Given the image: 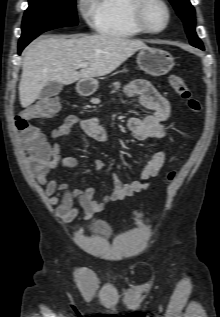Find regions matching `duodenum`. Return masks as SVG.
Returning a JSON list of instances; mask_svg holds the SVG:
<instances>
[{
    "mask_svg": "<svg viewBox=\"0 0 220 317\" xmlns=\"http://www.w3.org/2000/svg\"><path fill=\"white\" fill-rule=\"evenodd\" d=\"M77 90L80 95L85 96L89 94L91 91V87L89 85H86L85 83L80 82L77 86Z\"/></svg>",
    "mask_w": 220,
    "mask_h": 317,
    "instance_id": "1",
    "label": "duodenum"
}]
</instances>
